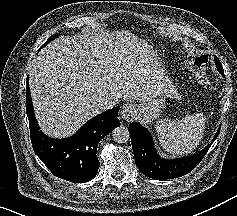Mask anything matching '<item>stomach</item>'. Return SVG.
I'll return each instance as SVG.
<instances>
[{"mask_svg": "<svg viewBox=\"0 0 237 216\" xmlns=\"http://www.w3.org/2000/svg\"><path fill=\"white\" fill-rule=\"evenodd\" d=\"M164 108L163 93L158 91L137 106V115L144 123H150L161 115Z\"/></svg>", "mask_w": 237, "mask_h": 216, "instance_id": "0dacf381", "label": "stomach"}]
</instances>
